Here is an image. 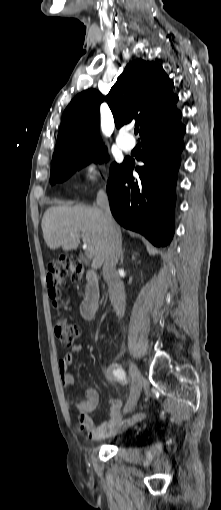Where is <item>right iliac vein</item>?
<instances>
[{"mask_svg": "<svg viewBox=\"0 0 221 510\" xmlns=\"http://www.w3.org/2000/svg\"><path fill=\"white\" fill-rule=\"evenodd\" d=\"M129 372L132 377L134 385L131 391L130 398L128 399V402L124 409L125 413L132 411V409L135 407L140 396V391L144 384V378L140 370L132 361H129Z\"/></svg>", "mask_w": 221, "mask_h": 510, "instance_id": "right-iliac-vein-1", "label": "right iliac vein"}]
</instances>
